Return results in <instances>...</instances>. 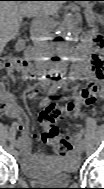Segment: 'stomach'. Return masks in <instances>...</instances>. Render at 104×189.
<instances>
[{"label": "stomach", "mask_w": 104, "mask_h": 189, "mask_svg": "<svg viewBox=\"0 0 104 189\" xmlns=\"http://www.w3.org/2000/svg\"><path fill=\"white\" fill-rule=\"evenodd\" d=\"M86 3H88V2H86V1L83 2L84 5H86Z\"/></svg>", "instance_id": "0dacf381"}]
</instances>
